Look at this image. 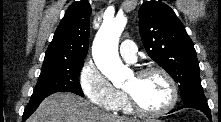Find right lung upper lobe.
<instances>
[{"mask_svg":"<svg viewBox=\"0 0 221 122\" xmlns=\"http://www.w3.org/2000/svg\"><path fill=\"white\" fill-rule=\"evenodd\" d=\"M90 14L91 6L86 0L69 6L46 51L44 62L84 61L88 52Z\"/></svg>","mask_w":221,"mask_h":122,"instance_id":"right-lung-upper-lobe-1","label":"right lung upper lobe"}]
</instances>
